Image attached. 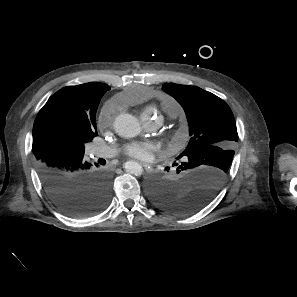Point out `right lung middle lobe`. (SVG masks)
Here are the masks:
<instances>
[{"label":"right lung middle lobe","mask_w":297,"mask_h":297,"mask_svg":"<svg viewBox=\"0 0 297 297\" xmlns=\"http://www.w3.org/2000/svg\"><path fill=\"white\" fill-rule=\"evenodd\" d=\"M96 134V131L95 133L90 132L78 137L67 133L58 134L54 138L53 145L55 149L59 151L72 154H84V143L91 141Z\"/></svg>","instance_id":"right-lung-middle-lobe-1"}]
</instances>
